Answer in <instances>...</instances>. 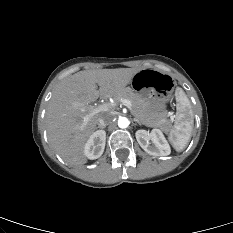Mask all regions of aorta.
I'll use <instances>...</instances> for the list:
<instances>
[{"mask_svg": "<svg viewBox=\"0 0 233 233\" xmlns=\"http://www.w3.org/2000/svg\"><path fill=\"white\" fill-rule=\"evenodd\" d=\"M118 126L120 128H127L129 126V120L126 117H120L118 119Z\"/></svg>", "mask_w": 233, "mask_h": 233, "instance_id": "762f6f07", "label": "aorta"}]
</instances>
